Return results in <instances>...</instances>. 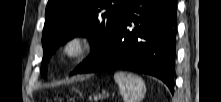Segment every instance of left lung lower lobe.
<instances>
[{
  "instance_id": "0a47b994",
  "label": "left lung lower lobe",
  "mask_w": 221,
  "mask_h": 102,
  "mask_svg": "<svg viewBox=\"0 0 221 102\" xmlns=\"http://www.w3.org/2000/svg\"><path fill=\"white\" fill-rule=\"evenodd\" d=\"M175 34V0H128L109 39L76 73L131 70L159 78L173 93Z\"/></svg>"
}]
</instances>
